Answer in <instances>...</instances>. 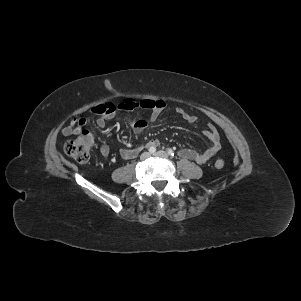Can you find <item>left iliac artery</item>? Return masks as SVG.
<instances>
[{
  "mask_svg": "<svg viewBox=\"0 0 301 301\" xmlns=\"http://www.w3.org/2000/svg\"><path fill=\"white\" fill-rule=\"evenodd\" d=\"M167 152H168V154H169L170 156H172V157L175 155V154H174V151L171 150V149H168Z\"/></svg>",
  "mask_w": 301,
  "mask_h": 301,
  "instance_id": "obj_1",
  "label": "left iliac artery"
}]
</instances>
